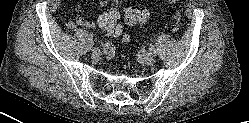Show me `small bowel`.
Returning <instances> with one entry per match:
<instances>
[{
    "label": "small bowel",
    "instance_id": "c3829d8e",
    "mask_svg": "<svg viewBox=\"0 0 249 123\" xmlns=\"http://www.w3.org/2000/svg\"><path fill=\"white\" fill-rule=\"evenodd\" d=\"M67 2H70L72 0H65ZM83 2H90L93 0H82ZM109 0H99V6L100 8L104 7L105 4L108 2ZM96 23L93 20L90 19H86L84 17L81 16H77L74 19H68L66 26L69 29H73L75 26H81V27H85V28H93L95 27Z\"/></svg>",
    "mask_w": 249,
    "mask_h": 123
}]
</instances>
